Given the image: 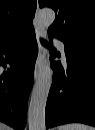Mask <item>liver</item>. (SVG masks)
<instances>
[{"label":"liver","instance_id":"liver-1","mask_svg":"<svg viewBox=\"0 0 95 130\" xmlns=\"http://www.w3.org/2000/svg\"><path fill=\"white\" fill-rule=\"evenodd\" d=\"M1 130H11V128L5 124H1Z\"/></svg>","mask_w":95,"mask_h":130}]
</instances>
